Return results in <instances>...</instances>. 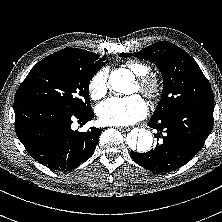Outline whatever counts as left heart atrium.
Instances as JSON below:
<instances>
[{"label":"left heart atrium","instance_id":"left-heart-atrium-1","mask_svg":"<svg viewBox=\"0 0 222 222\" xmlns=\"http://www.w3.org/2000/svg\"><path fill=\"white\" fill-rule=\"evenodd\" d=\"M148 108L138 94L128 97H113L96 107L99 120L106 125L126 126L143 119Z\"/></svg>","mask_w":222,"mask_h":222}]
</instances>
